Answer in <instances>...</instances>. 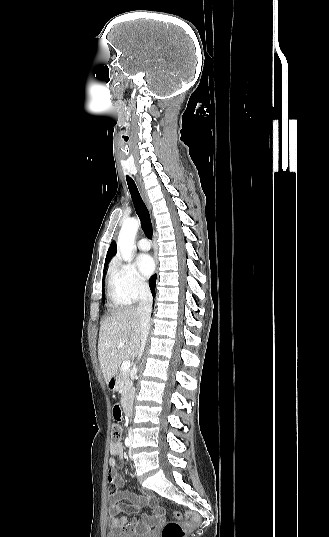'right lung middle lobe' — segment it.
<instances>
[{
  "instance_id": "dd1d6c3e",
  "label": "right lung middle lobe",
  "mask_w": 329,
  "mask_h": 537,
  "mask_svg": "<svg viewBox=\"0 0 329 537\" xmlns=\"http://www.w3.org/2000/svg\"><path fill=\"white\" fill-rule=\"evenodd\" d=\"M105 270H106V268L104 269V274H105ZM102 299H103V300L105 299V291H104V276H103V282H102Z\"/></svg>"
}]
</instances>
